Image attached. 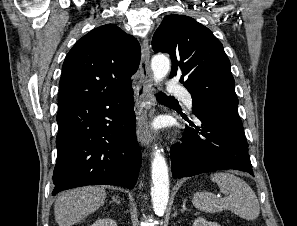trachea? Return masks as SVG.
<instances>
[{
	"instance_id": "1",
	"label": "trachea",
	"mask_w": 297,
	"mask_h": 226,
	"mask_svg": "<svg viewBox=\"0 0 297 226\" xmlns=\"http://www.w3.org/2000/svg\"><path fill=\"white\" fill-rule=\"evenodd\" d=\"M156 97H157V100L161 101V102H175V103H178V101L174 97L167 96L163 92H158L156 94Z\"/></svg>"
}]
</instances>
